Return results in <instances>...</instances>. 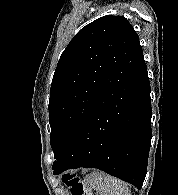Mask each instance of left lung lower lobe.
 Here are the masks:
<instances>
[{
	"instance_id": "0a47b994",
	"label": "left lung lower lobe",
	"mask_w": 178,
	"mask_h": 195,
	"mask_svg": "<svg viewBox=\"0 0 178 195\" xmlns=\"http://www.w3.org/2000/svg\"><path fill=\"white\" fill-rule=\"evenodd\" d=\"M151 101L143 66L88 119L53 165L54 174L93 167L141 189L151 141Z\"/></svg>"
}]
</instances>
